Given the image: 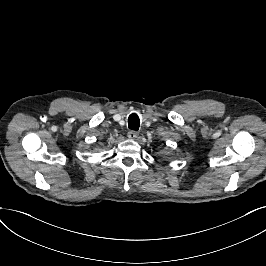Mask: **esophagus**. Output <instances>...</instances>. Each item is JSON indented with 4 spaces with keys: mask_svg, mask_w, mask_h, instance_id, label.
<instances>
[{
    "mask_svg": "<svg viewBox=\"0 0 266 266\" xmlns=\"http://www.w3.org/2000/svg\"><path fill=\"white\" fill-rule=\"evenodd\" d=\"M127 136L129 139L134 140L138 137V133L136 131H129Z\"/></svg>",
    "mask_w": 266,
    "mask_h": 266,
    "instance_id": "esophagus-1",
    "label": "esophagus"
}]
</instances>
